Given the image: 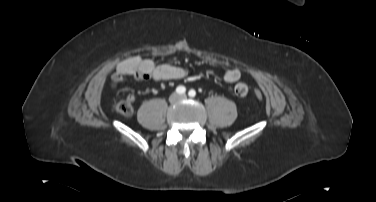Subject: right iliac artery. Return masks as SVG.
<instances>
[{
  "mask_svg": "<svg viewBox=\"0 0 376 202\" xmlns=\"http://www.w3.org/2000/svg\"><path fill=\"white\" fill-rule=\"evenodd\" d=\"M176 92H177L178 94H184V93L186 92V88H185L184 86H178V87L176 88Z\"/></svg>",
  "mask_w": 376,
  "mask_h": 202,
  "instance_id": "obj_1",
  "label": "right iliac artery"
}]
</instances>
